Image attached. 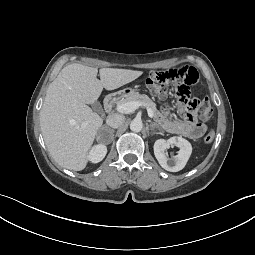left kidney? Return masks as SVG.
I'll list each match as a JSON object with an SVG mask.
<instances>
[{"instance_id":"5707ae66","label":"left kidney","mask_w":255,"mask_h":255,"mask_svg":"<svg viewBox=\"0 0 255 255\" xmlns=\"http://www.w3.org/2000/svg\"><path fill=\"white\" fill-rule=\"evenodd\" d=\"M170 145L177 146L179 151L176 156L168 158L165 155V150L169 148ZM153 148L154 155L161 167L171 172H178L182 170L192 153L191 144L181 136H174L168 140L158 139L155 141Z\"/></svg>"}]
</instances>
